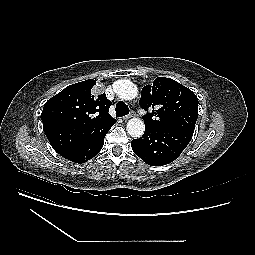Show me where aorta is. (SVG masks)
<instances>
[{"label": "aorta", "instance_id": "obj_1", "mask_svg": "<svg viewBox=\"0 0 255 255\" xmlns=\"http://www.w3.org/2000/svg\"><path fill=\"white\" fill-rule=\"evenodd\" d=\"M114 91L124 100H132L138 94L137 86L129 80H118L115 82ZM126 128L129 135L133 138H140L145 131L144 122L140 118H131Z\"/></svg>", "mask_w": 255, "mask_h": 255}]
</instances>
